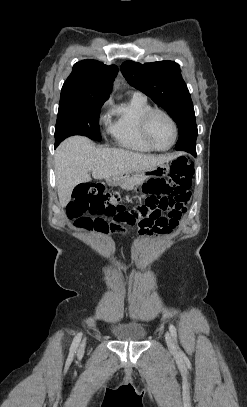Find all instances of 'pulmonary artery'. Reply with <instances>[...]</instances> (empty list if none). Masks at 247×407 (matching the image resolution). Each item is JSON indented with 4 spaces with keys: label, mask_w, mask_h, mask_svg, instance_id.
Returning a JSON list of instances; mask_svg holds the SVG:
<instances>
[{
    "label": "pulmonary artery",
    "mask_w": 247,
    "mask_h": 407,
    "mask_svg": "<svg viewBox=\"0 0 247 407\" xmlns=\"http://www.w3.org/2000/svg\"><path fill=\"white\" fill-rule=\"evenodd\" d=\"M134 96H137V97H144L141 93H134Z\"/></svg>",
    "instance_id": "pulmonary-artery-1"
}]
</instances>
